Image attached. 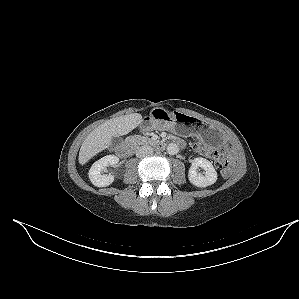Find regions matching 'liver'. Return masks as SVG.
I'll use <instances>...</instances> for the list:
<instances>
[{
    "label": "liver",
    "instance_id": "obj_1",
    "mask_svg": "<svg viewBox=\"0 0 299 299\" xmlns=\"http://www.w3.org/2000/svg\"><path fill=\"white\" fill-rule=\"evenodd\" d=\"M142 122V115L132 113L105 121L83 141L79 151V163L86 164L92 157L108 148L112 138L131 132Z\"/></svg>",
    "mask_w": 299,
    "mask_h": 299
}]
</instances>
